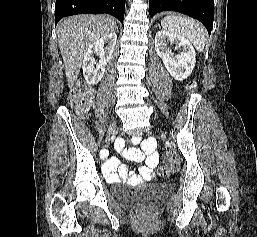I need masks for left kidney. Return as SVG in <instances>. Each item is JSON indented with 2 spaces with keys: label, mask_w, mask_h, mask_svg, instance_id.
Instances as JSON below:
<instances>
[{
  "label": "left kidney",
  "mask_w": 257,
  "mask_h": 237,
  "mask_svg": "<svg viewBox=\"0 0 257 237\" xmlns=\"http://www.w3.org/2000/svg\"><path fill=\"white\" fill-rule=\"evenodd\" d=\"M169 44H175V48L182 49V52L175 55L168 47ZM155 50L174 79L182 81L192 73L196 54L187 39L168 31H158L155 36Z\"/></svg>",
  "instance_id": "5707ae66"
}]
</instances>
